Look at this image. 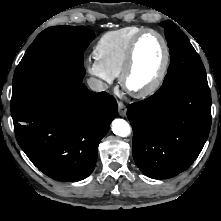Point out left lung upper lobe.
Masks as SVG:
<instances>
[{
	"label": "left lung upper lobe",
	"instance_id": "obj_1",
	"mask_svg": "<svg viewBox=\"0 0 221 221\" xmlns=\"http://www.w3.org/2000/svg\"><path fill=\"white\" fill-rule=\"evenodd\" d=\"M160 25L165 28V37L170 49L171 59L163 83L174 79L207 82L203 63L187 36L172 21H164Z\"/></svg>",
	"mask_w": 221,
	"mask_h": 221
}]
</instances>
